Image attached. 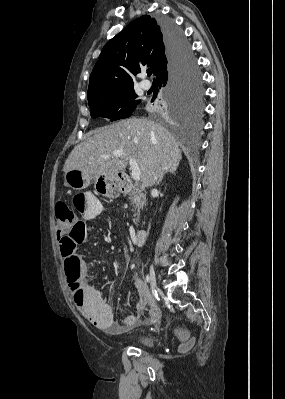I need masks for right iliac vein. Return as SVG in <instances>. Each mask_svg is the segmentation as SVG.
Wrapping results in <instances>:
<instances>
[{"mask_svg":"<svg viewBox=\"0 0 285 399\" xmlns=\"http://www.w3.org/2000/svg\"><path fill=\"white\" fill-rule=\"evenodd\" d=\"M149 278H150L151 288L153 290L157 289L155 271L152 265L150 266Z\"/></svg>","mask_w":285,"mask_h":399,"instance_id":"1","label":"right iliac vein"}]
</instances>
